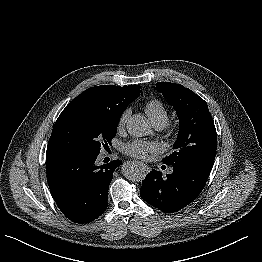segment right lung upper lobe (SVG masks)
I'll use <instances>...</instances> for the list:
<instances>
[{"mask_svg": "<svg viewBox=\"0 0 262 262\" xmlns=\"http://www.w3.org/2000/svg\"><path fill=\"white\" fill-rule=\"evenodd\" d=\"M140 94V86L102 85L91 87L78 95L75 99L88 98L108 108L123 111Z\"/></svg>", "mask_w": 262, "mask_h": 262, "instance_id": "right-lung-upper-lobe-1", "label": "right lung upper lobe"}]
</instances>
